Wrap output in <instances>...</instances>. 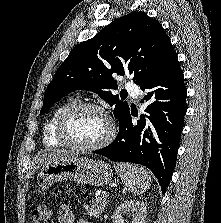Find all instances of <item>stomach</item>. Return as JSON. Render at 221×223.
I'll list each match as a JSON object with an SVG mask.
<instances>
[{
    "label": "stomach",
    "instance_id": "stomach-1",
    "mask_svg": "<svg viewBox=\"0 0 221 223\" xmlns=\"http://www.w3.org/2000/svg\"><path fill=\"white\" fill-rule=\"evenodd\" d=\"M111 166L101 160L70 156L43 164L37 176L39 188L47 189L58 181L70 180L81 184L103 186L112 181Z\"/></svg>",
    "mask_w": 221,
    "mask_h": 223
}]
</instances>
